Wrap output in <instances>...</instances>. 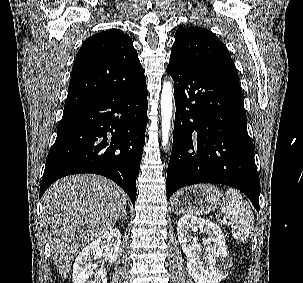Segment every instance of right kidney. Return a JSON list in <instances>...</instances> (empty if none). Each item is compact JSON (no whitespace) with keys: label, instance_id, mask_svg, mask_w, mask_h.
Instances as JSON below:
<instances>
[{"label":"right kidney","instance_id":"right-kidney-1","mask_svg":"<svg viewBox=\"0 0 303 283\" xmlns=\"http://www.w3.org/2000/svg\"><path fill=\"white\" fill-rule=\"evenodd\" d=\"M121 234L118 229L110 230L89 243L79 253L73 265V283H107V272L102 266L94 272L95 265L91 257L104 255V261L114 263L117 260ZM94 276V278H93Z\"/></svg>","mask_w":303,"mask_h":283}]
</instances>
